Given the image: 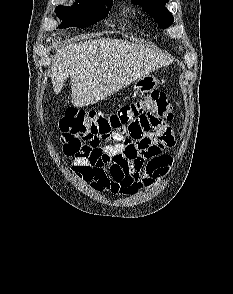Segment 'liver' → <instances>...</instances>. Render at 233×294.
<instances>
[{
  "label": "liver",
  "instance_id": "liver-1",
  "mask_svg": "<svg viewBox=\"0 0 233 294\" xmlns=\"http://www.w3.org/2000/svg\"><path fill=\"white\" fill-rule=\"evenodd\" d=\"M170 63L165 55L129 41L89 40L56 51L51 81L59 94L70 77L72 104L80 108L104 100Z\"/></svg>",
  "mask_w": 233,
  "mask_h": 294
}]
</instances>
